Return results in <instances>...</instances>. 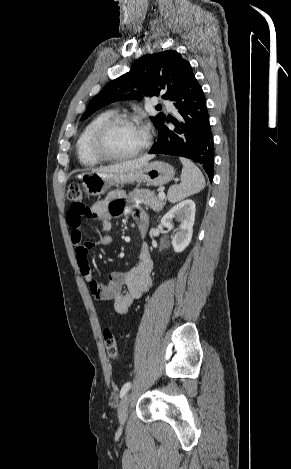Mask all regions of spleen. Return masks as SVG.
I'll return each mask as SVG.
<instances>
[{"instance_id": "spleen-1", "label": "spleen", "mask_w": 291, "mask_h": 469, "mask_svg": "<svg viewBox=\"0 0 291 469\" xmlns=\"http://www.w3.org/2000/svg\"><path fill=\"white\" fill-rule=\"evenodd\" d=\"M180 160L183 164L181 183L171 186L167 194L168 200L172 203L196 194L205 187V178L200 169L185 158H180Z\"/></svg>"}]
</instances>
